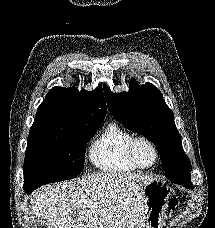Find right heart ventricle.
Returning <instances> with one entry per match:
<instances>
[{
	"label": "right heart ventricle",
	"instance_id": "right-heart-ventricle-1",
	"mask_svg": "<svg viewBox=\"0 0 215 228\" xmlns=\"http://www.w3.org/2000/svg\"><path fill=\"white\" fill-rule=\"evenodd\" d=\"M135 134L121 125L109 123L91 143L89 160L98 170L111 174L136 171L127 158V146Z\"/></svg>",
	"mask_w": 215,
	"mask_h": 228
}]
</instances>
